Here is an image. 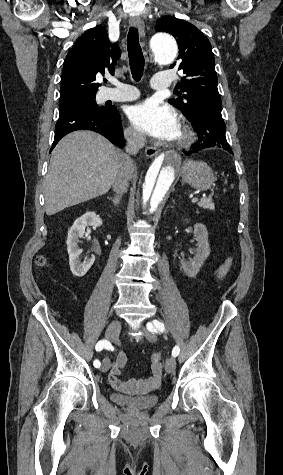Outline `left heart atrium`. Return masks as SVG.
<instances>
[{
	"mask_svg": "<svg viewBox=\"0 0 283 475\" xmlns=\"http://www.w3.org/2000/svg\"><path fill=\"white\" fill-rule=\"evenodd\" d=\"M128 120L141 134L159 140L172 141L178 138L180 125L175 110L155 100H146L132 106Z\"/></svg>",
	"mask_w": 283,
	"mask_h": 475,
	"instance_id": "obj_1",
	"label": "left heart atrium"
}]
</instances>
